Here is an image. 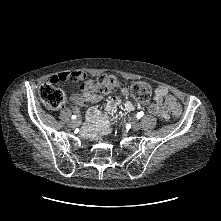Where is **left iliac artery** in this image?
Returning <instances> with one entry per match:
<instances>
[{"label":"left iliac artery","mask_w":221,"mask_h":221,"mask_svg":"<svg viewBox=\"0 0 221 221\" xmlns=\"http://www.w3.org/2000/svg\"><path fill=\"white\" fill-rule=\"evenodd\" d=\"M144 115V113L143 112H139L138 114H137V118L139 119V118H141L142 116Z\"/></svg>","instance_id":"44dca946"}]
</instances>
